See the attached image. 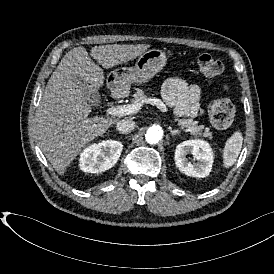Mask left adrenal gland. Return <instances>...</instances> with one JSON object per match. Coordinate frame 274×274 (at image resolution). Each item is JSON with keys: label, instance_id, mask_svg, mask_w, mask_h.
<instances>
[{"label": "left adrenal gland", "instance_id": "obj_1", "mask_svg": "<svg viewBox=\"0 0 274 274\" xmlns=\"http://www.w3.org/2000/svg\"><path fill=\"white\" fill-rule=\"evenodd\" d=\"M170 133L171 135H176V134H180V131L178 129L173 130L170 128Z\"/></svg>", "mask_w": 274, "mask_h": 274}]
</instances>
